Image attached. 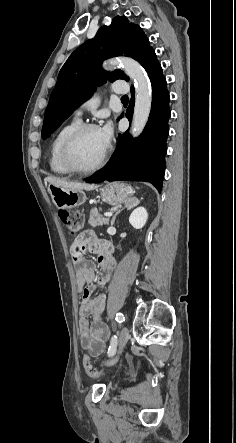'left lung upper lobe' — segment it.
I'll return each mask as SVG.
<instances>
[{
	"label": "left lung upper lobe",
	"mask_w": 236,
	"mask_h": 443,
	"mask_svg": "<svg viewBox=\"0 0 236 443\" xmlns=\"http://www.w3.org/2000/svg\"><path fill=\"white\" fill-rule=\"evenodd\" d=\"M152 47L142 31L125 16H117L110 26L101 27L96 36L78 47L62 66L45 112L42 134L48 136L68 118L76 107L87 100L96 86L108 79L129 80L121 70L103 71V60L128 56L143 65Z\"/></svg>",
	"instance_id": "5c2ea615"
}]
</instances>
